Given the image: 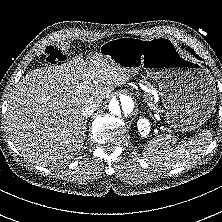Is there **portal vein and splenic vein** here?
I'll return each mask as SVG.
<instances>
[{
    "instance_id": "18ae733b",
    "label": "portal vein and splenic vein",
    "mask_w": 222,
    "mask_h": 222,
    "mask_svg": "<svg viewBox=\"0 0 222 222\" xmlns=\"http://www.w3.org/2000/svg\"><path fill=\"white\" fill-rule=\"evenodd\" d=\"M86 83L89 84L90 81H86ZM145 90H146V92H150V90L147 89V88H145ZM155 117L159 120V116H158V115H155ZM165 130H166V129H165ZM166 131H167V134H166L167 138H169V139L172 140L173 142H176V138H175V136L172 134L171 130L168 129V130H166Z\"/></svg>"
}]
</instances>
